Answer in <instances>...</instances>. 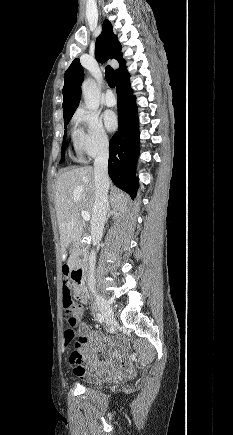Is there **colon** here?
I'll return each mask as SVG.
<instances>
[{"instance_id": "1", "label": "colon", "mask_w": 233, "mask_h": 435, "mask_svg": "<svg viewBox=\"0 0 233 435\" xmlns=\"http://www.w3.org/2000/svg\"><path fill=\"white\" fill-rule=\"evenodd\" d=\"M63 280L64 282L75 281V275L73 270L68 266L63 267ZM64 313L63 317L65 320V330L64 339L65 347L70 350L69 361L71 364L80 363L82 356L78 350L79 344L82 342L81 337H77L75 334L76 320L79 315V310L72 304L70 296H63Z\"/></svg>"}]
</instances>
